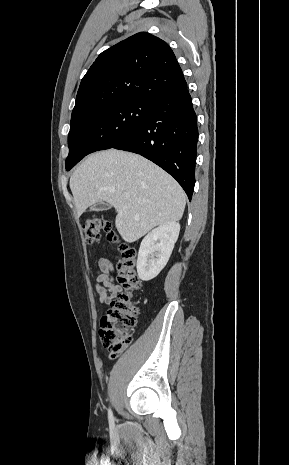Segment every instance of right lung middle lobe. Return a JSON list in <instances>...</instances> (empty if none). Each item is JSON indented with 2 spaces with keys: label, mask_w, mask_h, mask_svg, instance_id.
<instances>
[{
  "label": "right lung middle lobe",
  "mask_w": 289,
  "mask_h": 465,
  "mask_svg": "<svg viewBox=\"0 0 289 465\" xmlns=\"http://www.w3.org/2000/svg\"><path fill=\"white\" fill-rule=\"evenodd\" d=\"M153 101L127 100L94 108L70 127L66 170L89 153L109 149L137 129L151 115Z\"/></svg>",
  "instance_id": "1"
}]
</instances>
